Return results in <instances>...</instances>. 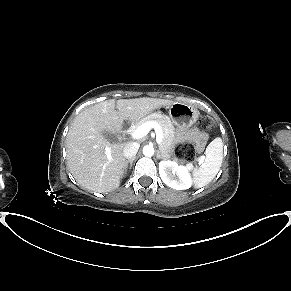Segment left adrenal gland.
<instances>
[{
  "label": "left adrenal gland",
  "instance_id": "a2214340",
  "mask_svg": "<svg viewBox=\"0 0 291 291\" xmlns=\"http://www.w3.org/2000/svg\"><path fill=\"white\" fill-rule=\"evenodd\" d=\"M157 158L165 159L164 155L159 150L157 151Z\"/></svg>",
  "mask_w": 291,
  "mask_h": 291
}]
</instances>
